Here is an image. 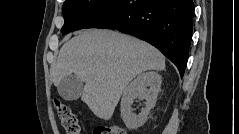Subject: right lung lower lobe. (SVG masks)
I'll return each mask as SVG.
<instances>
[{
    "label": "right lung lower lobe",
    "instance_id": "1",
    "mask_svg": "<svg viewBox=\"0 0 239 134\" xmlns=\"http://www.w3.org/2000/svg\"><path fill=\"white\" fill-rule=\"evenodd\" d=\"M192 0H116L83 28H107L133 35L160 50L182 77L193 29Z\"/></svg>",
    "mask_w": 239,
    "mask_h": 134
}]
</instances>
